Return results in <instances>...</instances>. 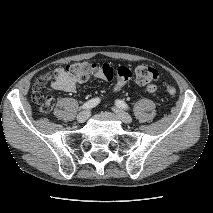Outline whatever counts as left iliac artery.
<instances>
[{
    "label": "left iliac artery",
    "instance_id": "44dca946",
    "mask_svg": "<svg viewBox=\"0 0 213 213\" xmlns=\"http://www.w3.org/2000/svg\"><path fill=\"white\" fill-rule=\"evenodd\" d=\"M115 104L118 106V107H120V108H123V109H126V110H128L129 109V106L124 102V101H122V100H116L115 101Z\"/></svg>",
    "mask_w": 213,
    "mask_h": 213
}]
</instances>
